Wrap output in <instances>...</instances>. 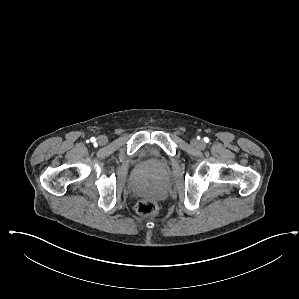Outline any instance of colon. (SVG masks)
Instances as JSON below:
<instances>
[{"instance_id": "1", "label": "colon", "mask_w": 299, "mask_h": 299, "mask_svg": "<svg viewBox=\"0 0 299 299\" xmlns=\"http://www.w3.org/2000/svg\"><path fill=\"white\" fill-rule=\"evenodd\" d=\"M136 211L141 216H152L158 211V204L152 199H143L138 202Z\"/></svg>"}]
</instances>
